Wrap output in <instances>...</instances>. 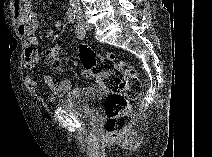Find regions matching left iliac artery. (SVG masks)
I'll list each match as a JSON object with an SVG mask.
<instances>
[{
    "instance_id": "left-iliac-artery-1",
    "label": "left iliac artery",
    "mask_w": 212,
    "mask_h": 157,
    "mask_svg": "<svg viewBox=\"0 0 212 157\" xmlns=\"http://www.w3.org/2000/svg\"><path fill=\"white\" fill-rule=\"evenodd\" d=\"M82 21H83V15L78 14L77 15V26L75 29V33L79 39H82L85 36V29L82 26Z\"/></svg>"
}]
</instances>
